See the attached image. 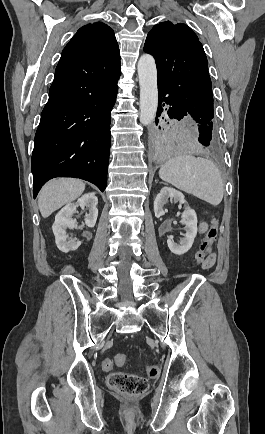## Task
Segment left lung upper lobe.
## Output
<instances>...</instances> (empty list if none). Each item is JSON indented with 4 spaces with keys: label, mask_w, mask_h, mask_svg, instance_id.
<instances>
[{
    "label": "left lung upper lobe",
    "mask_w": 265,
    "mask_h": 434,
    "mask_svg": "<svg viewBox=\"0 0 265 434\" xmlns=\"http://www.w3.org/2000/svg\"><path fill=\"white\" fill-rule=\"evenodd\" d=\"M144 51L156 60L158 84L180 99L200 123L215 124L208 62L191 28L161 22L148 33Z\"/></svg>",
    "instance_id": "5c2ea615"
}]
</instances>
